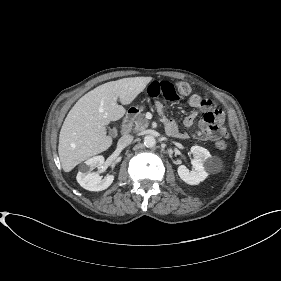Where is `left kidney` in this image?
Instances as JSON below:
<instances>
[{"label": "left kidney", "instance_id": "5707ae66", "mask_svg": "<svg viewBox=\"0 0 281 281\" xmlns=\"http://www.w3.org/2000/svg\"><path fill=\"white\" fill-rule=\"evenodd\" d=\"M191 153L193 154V159L191 160L193 170L190 171L186 166L180 165L177 172L185 183L197 185L208 176L211 155L207 149L200 146H192Z\"/></svg>", "mask_w": 281, "mask_h": 281}]
</instances>
